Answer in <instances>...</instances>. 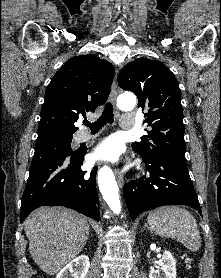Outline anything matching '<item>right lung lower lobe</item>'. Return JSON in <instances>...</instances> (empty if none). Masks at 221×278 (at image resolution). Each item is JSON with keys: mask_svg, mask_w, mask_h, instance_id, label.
Returning a JSON list of instances; mask_svg holds the SVG:
<instances>
[{"mask_svg": "<svg viewBox=\"0 0 221 278\" xmlns=\"http://www.w3.org/2000/svg\"><path fill=\"white\" fill-rule=\"evenodd\" d=\"M86 152L57 158L30 170L21 202V222L36 208L58 205L100 221L96 171L81 170Z\"/></svg>", "mask_w": 221, "mask_h": 278, "instance_id": "98d812e1", "label": "right lung lower lobe"}]
</instances>
